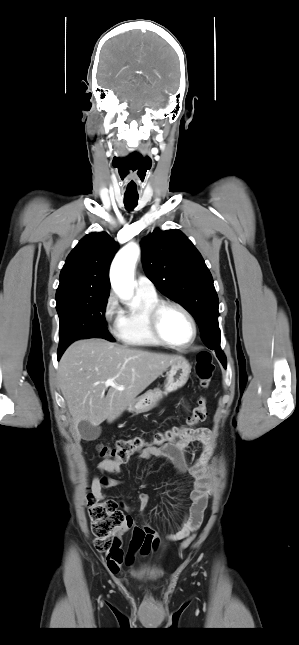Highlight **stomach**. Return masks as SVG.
I'll list each match as a JSON object with an SVG mask.
<instances>
[{
	"instance_id": "1",
	"label": "stomach",
	"mask_w": 299,
	"mask_h": 645,
	"mask_svg": "<svg viewBox=\"0 0 299 645\" xmlns=\"http://www.w3.org/2000/svg\"><path fill=\"white\" fill-rule=\"evenodd\" d=\"M191 372V365L185 359L175 362L167 372V378L164 385V391L160 389L149 390L139 396L134 402L127 407L131 413H145L157 406L163 395L174 392L183 387L188 381Z\"/></svg>"
}]
</instances>
